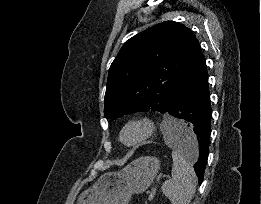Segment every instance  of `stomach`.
I'll list each match as a JSON object with an SVG mask.
<instances>
[{"mask_svg":"<svg viewBox=\"0 0 261 204\" xmlns=\"http://www.w3.org/2000/svg\"><path fill=\"white\" fill-rule=\"evenodd\" d=\"M160 168L157 157H139L118 171L106 172L82 191L76 204H128L133 194L144 192Z\"/></svg>","mask_w":261,"mask_h":204,"instance_id":"0dacf381","label":"stomach"}]
</instances>
